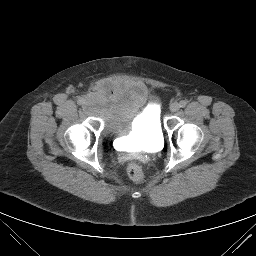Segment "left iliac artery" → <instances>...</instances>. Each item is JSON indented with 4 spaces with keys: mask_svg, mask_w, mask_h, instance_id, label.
Masks as SVG:
<instances>
[{
    "mask_svg": "<svg viewBox=\"0 0 256 256\" xmlns=\"http://www.w3.org/2000/svg\"><path fill=\"white\" fill-rule=\"evenodd\" d=\"M186 105H187V101H185V100H182L179 103V106L182 107V108H184Z\"/></svg>",
    "mask_w": 256,
    "mask_h": 256,
    "instance_id": "obj_1",
    "label": "left iliac artery"
}]
</instances>
